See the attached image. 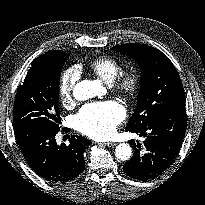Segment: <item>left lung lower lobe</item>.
Listing matches in <instances>:
<instances>
[{
	"label": "left lung lower lobe",
	"mask_w": 205,
	"mask_h": 205,
	"mask_svg": "<svg viewBox=\"0 0 205 205\" xmlns=\"http://www.w3.org/2000/svg\"><path fill=\"white\" fill-rule=\"evenodd\" d=\"M186 126L185 107H181L163 113L140 129L128 130L146 139L142 149L139 142H129L134 154L123 166V171L142 181L159 176L170 167L179 153Z\"/></svg>",
	"instance_id": "obj_1"
}]
</instances>
